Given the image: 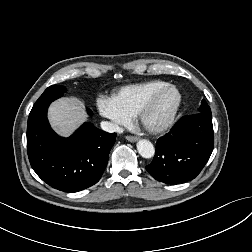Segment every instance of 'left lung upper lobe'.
Wrapping results in <instances>:
<instances>
[{
  "label": "left lung upper lobe",
  "mask_w": 252,
  "mask_h": 252,
  "mask_svg": "<svg viewBox=\"0 0 252 252\" xmlns=\"http://www.w3.org/2000/svg\"><path fill=\"white\" fill-rule=\"evenodd\" d=\"M198 113H206V114H211V109L208 106V104L206 103L205 100H202V104L198 110Z\"/></svg>",
  "instance_id": "5c2ea615"
}]
</instances>
